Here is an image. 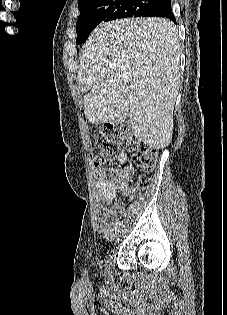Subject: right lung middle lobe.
<instances>
[{
  "label": "right lung middle lobe",
  "mask_w": 227,
  "mask_h": 315,
  "mask_svg": "<svg viewBox=\"0 0 227 315\" xmlns=\"http://www.w3.org/2000/svg\"><path fill=\"white\" fill-rule=\"evenodd\" d=\"M158 0H80L76 24L77 44L84 43L90 32L102 22L141 17Z\"/></svg>",
  "instance_id": "dd1d6c3e"
}]
</instances>
